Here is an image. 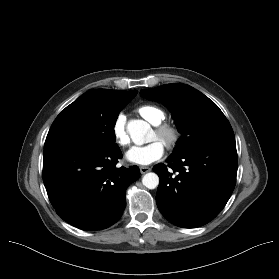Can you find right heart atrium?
I'll list each match as a JSON object with an SVG mask.
<instances>
[{"mask_svg":"<svg viewBox=\"0 0 279 279\" xmlns=\"http://www.w3.org/2000/svg\"><path fill=\"white\" fill-rule=\"evenodd\" d=\"M112 134L119 146L125 147L129 144V136L123 117L120 116L114 121L112 125Z\"/></svg>","mask_w":279,"mask_h":279,"instance_id":"d8ad5b80","label":"right heart atrium"}]
</instances>
